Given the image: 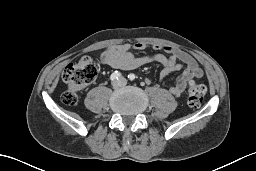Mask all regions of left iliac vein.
I'll list each match as a JSON object with an SVG mask.
<instances>
[{
	"label": "left iliac vein",
	"instance_id": "4c4485c4",
	"mask_svg": "<svg viewBox=\"0 0 256 171\" xmlns=\"http://www.w3.org/2000/svg\"><path fill=\"white\" fill-rule=\"evenodd\" d=\"M119 81L121 82V85H126L127 84V80L125 78H120Z\"/></svg>",
	"mask_w": 256,
	"mask_h": 171
}]
</instances>
